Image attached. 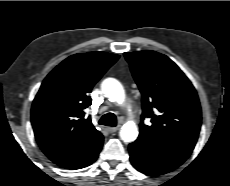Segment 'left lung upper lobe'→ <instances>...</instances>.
I'll use <instances>...</instances> for the list:
<instances>
[{
  "instance_id": "obj_1",
  "label": "left lung upper lobe",
  "mask_w": 230,
  "mask_h": 186,
  "mask_svg": "<svg viewBox=\"0 0 230 186\" xmlns=\"http://www.w3.org/2000/svg\"><path fill=\"white\" fill-rule=\"evenodd\" d=\"M124 56L142 93L140 137L193 150L201 126V108L194 86L167 56L155 51L126 52Z\"/></svg>"
}]
</instances>
